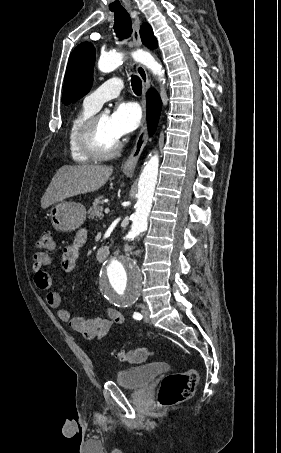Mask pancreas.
Here are the masks:
<instances>
[{
	"instance_id": "cf45deb5",
	"label": "pancreas",
	"mask_w": 281,
	"mask_h": 453,
	"mask_svg": "<svg viewBox=\"0 0 281 453\" xmlns=\"http://www.w3.org/2000/svg\"><path fill=\"white\" fill-rule=\"evenodd\" d=\"M103 196H98V198H95L94 202H92V206L89 208V216L88 218H103Z\"/></svg>"
}]
</instances>
